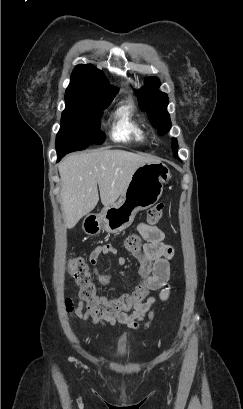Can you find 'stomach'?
I'll return each mask as SVG.
<instances>
[{
  "label": "stomach",
  "instance_id": "stomach-1",
  "mask_svg": "<svg viewBox=\"0 0 243 409\" xmlns=\"http://www.w3.org/2000/svg\"><path fill=\"white\" fill-rule=\"evenodd\" d=\"M171 179L170 169L161 162L146 163L135 170L119 200L104 207L100 214H89L82 228L89 235L104 230L119 233L129 227L138 211L153 206L161 197L164 184Z\"/></svg>",
  "mask_w": 243,
  "mask_h": 409
}]
</instances>
